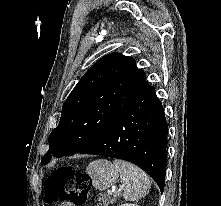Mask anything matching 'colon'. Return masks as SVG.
I'll use <instances>...</instances> for the list:
<instances>
[{"instance_id": "obj_1", "label": "colon", "mask_w": 221, "mask_h": 206, "mask_svg": "<svg viewBox=\"0 0 221 206\" xmlns=\"http://www.w3.org/2000/svg\"><path fill=\"white\" fill-rule=\"evenodd\" d=\"M91 185L88 174L68 166L56 169L45 186L47 202L72 201L82 206Z\"/></svg>"}]
</instances>
